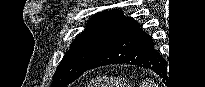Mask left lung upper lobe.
I'll use <instances>...</instances> for the list:
<instances>
[{
	"label": "left lung upper lobe",
	"mask_w": 205,
	"mask_h": 87,
	"mask_svg": "<svg viewBox=\"0 0 205 87\" xmlns=\"http://www.w3.org/2000/svg\"><path fill=\"white\" fill-rule=\"evenodd\" d=\"M124 18L121 10H109L94 15L63 57L54 74L52 87H65L80 77Z\"/></svg>",
	"instance_id": "left-lung-upper-lobe-1"
}]
</instances>
